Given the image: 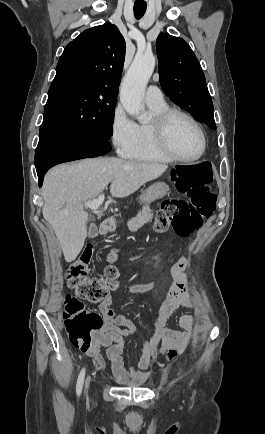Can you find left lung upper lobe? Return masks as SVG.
<instances>
[{"instance_id":"left-lung-upper-lobe-1","label":"left lung upper lobe","mask_w":265,"mask_h":434,"mask_svg":"<svg viewBox=\"0 0 265 434\" xmlns=\"http://www.w3.org/2000/svg\"><path fill=\"white\" fill-rule=\"evenodd\" d=\"M156 51L165 94L194 119L216 129L205 76L190 46L181 38L161 33L156 40Z\"/></svg>"}]
</instances>
